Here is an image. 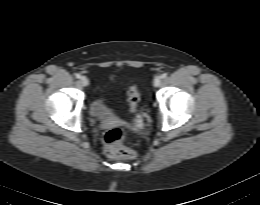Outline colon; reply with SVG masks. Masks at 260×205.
<instances>
[{
  "label": "colon",
  "instance_id": "obj_1",
  "mask_svg": "<svg viewBox=\"0 0 260 205\" xmlns=\"http://www.w3.org/2000/svg\"><path fill=\"white\" fill-rule=\"evenodd\" d=\"M127 97L130 109L134 111L140 101L138 86L136 84L130 85ZM125 135V131L120 127L112 128L105 133L104 145L108 156L125 159H134L136 157V153L133 150L124 147Z\"/></svg>",
  "mask_w": 260,
  "mask_h": 205
}]
</instances>
